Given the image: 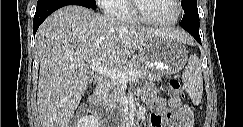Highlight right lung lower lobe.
I'll use <instances>...</instances> for the list:
<instances>
[{"mask_svg":"<svg viewBox=\"0 0 243 127\" xmlns=\"http://www.w3.org/2000/svg\"><path fill=\"white\" fill-rule=\"evenodd\" d=\"M67 5H80L91 8L84 0H41L37 3L33 22V32L36 33L41 23L55 10Z\"/></svg>","mask_w":243,"mask_h":127,"instance_id":"98d812e1","label":"right lung lower lobe"}]
</instances>
